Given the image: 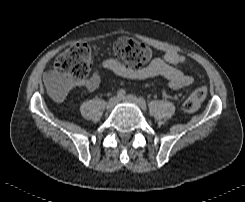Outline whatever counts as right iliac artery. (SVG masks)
Masks as SVG:
<instances>
[{
	"mask_svg": "<svg viewBox=\"0 0 245 202\" xmlns=\"http://www.w3.org/2000/svg\"><path fill=\"white\" fill-rule=\"evenodd\" d=\"M125 94H126L125 89H120V90H118V92H117V97H118L119 99H121V98L124 97Z\"/></svg>",
	"mask_w": 245,
	"mask_h": 202,
	"instance_id": "obj_1",
	"label": "right iliac artery"
}]
</instances>
